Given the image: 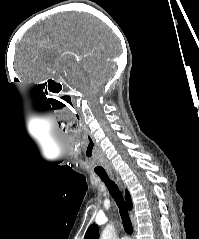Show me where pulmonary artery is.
Segmentation results:
<instances>
[{
  "instance_id": "1",
  "label": "pulmonary artery",
  "mask_w": 199,
  "mask_h": 239,
  "mask_svg": "<svg viewBox=\"0 0 199 239\" xmlns=\"http://www.w3.org/2000/svg\"><path fill=\"white\" fill-rule=\"evenodd\" d=\"M121 239H129L127 236L122 237Z\"/></svg>"
}]
</instances>
